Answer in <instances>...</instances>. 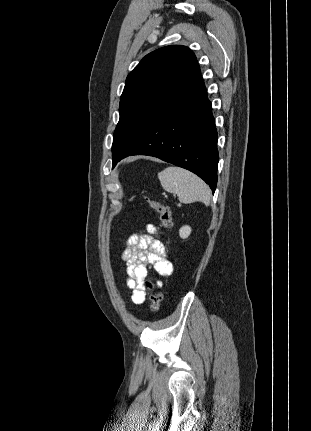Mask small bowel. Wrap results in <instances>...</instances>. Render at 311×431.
<instances>
[{
    "label": "small bowel",
    "mask_w": 311,
    "mask_h": 431,
    "mask_svg": "<svg viewBox=\"0 0 311 431\" xmlns=\"http://www.w3.org/2000/svg\"><path fill=\"white\" fill-rule=\"evenodd\" d=\"M147 231L148 234L138 233L130 236L122 254V259L127 265L126 282L132 290L131 299L135 304H141L145 300L144 279L149 268H153L163 276L170 275L173 270L167 259L164 244L152 236L155 232V226L149 224ZM157 286L161 287L162 283L158 282Z\"/></svg>",
    "instance_id": "small-bowel-1"
}]
</instances>
